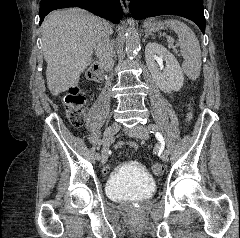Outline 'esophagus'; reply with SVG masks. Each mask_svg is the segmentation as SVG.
Returning a JSON list of instances; mask_svg holds the SVG:
<instances>
[{
    "label": "esophagus",
    "mask_w": 240,
    "mask_h": 238,
    "mask_svg": "<svg viewBox=\"0 0 240 238\" xmlns=\"http://www.w3.org/2000/svg\"><path fill=\"white\" fill-rule=\"evenodd\" d=\"M122 9L124 11L125 14H127L129 12V2L128 0H120Z\"/></svg>",
    "instance_id": "34e87169"
}]
</instances>
